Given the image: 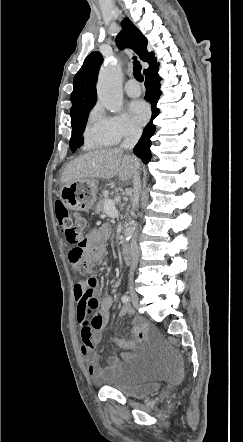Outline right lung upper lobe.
I'll list each match as a JSON object with an SVG mask.
<instances>
[{
    "label": "right lung upper lobe",
    "instance_id": "obj_1",
    "mask_svg": "<svg viewBox=\"0 0 243 442\" xmlns=\"http://www.w3.org/2000/svg\"><path fill=\"white\" fill-rule=\"evenodd\" d=\"M122 26V31L116 37L118 48L130 47L134 49L142 61L149 64V68L155 65L154 53L147 51V39L142 33L127 17L122 21ZM102 61L103 58L100 52L90 53L75 75L74 88L71 94V122L75 121L82 113L90 111L95 105L97 99L96 81ZM147 70H144V72Z\"/></svg>",
    "mask_w": 243,
    "mask_h": 442
}]
</instances>
